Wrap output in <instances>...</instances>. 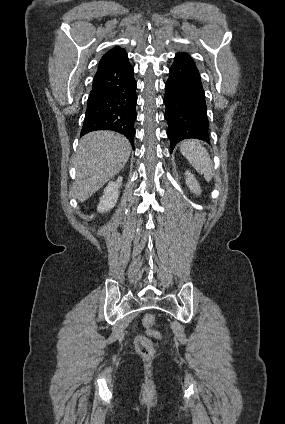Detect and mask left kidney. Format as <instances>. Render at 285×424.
<instances>
[{"label":"left kidney","instance_id":"1","mask_svg":"<svg viewBox=\"0 0 285 424\" xmlns=\"http://www.w3.org/2000/svg\"><path fill=\"white\" fill-rule=\"evenodd\" d=\"M185 175H186V184L188 185L190 190L194 192L195 194L200 195L201 193L200 185L198 184L194 175L191 174V172H189L188 170L185 172Z\"/></svg>","mask_w":285,"mask_h":424}]
</instances>
